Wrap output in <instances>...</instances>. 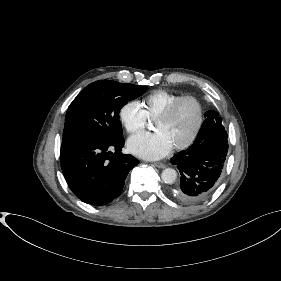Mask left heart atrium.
I'll use <instances>...</instances> for the list:
<instances>
[{"mask_svg": "<svg viewBox=\"0 0 281 281\" xmlns=\"http://www.w3.org/2000/svg\"><path fill=\"white\" fill-rule=\"evenodd\" d=\"M128 149L134 155L147 159L158 160L170 153L173 146L161 132H142L128 140Z\"/></svg>", "mask_w": 281, "mask_h": 281, "instance_id": "obj_1", "label": "left heart atrium"}]
</instances>
